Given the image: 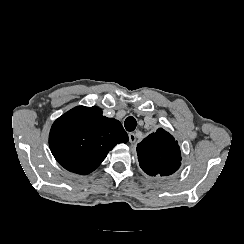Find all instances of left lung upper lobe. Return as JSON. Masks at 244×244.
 Returning a JSON list of instances; mask_svg holds the SVG:
<instances>
[{"mask_svg": "<svg viewBox=\"0 0 244 244\" xmlns=\"http://www.w3.org/2000/svg\"><path fill=\"white\" fill-rule=\"evenodd\" d=\"M140 167L150 176H168L181 165V153L174 137L159 128L137 144Z\"/></svg>", "mask_w": 244, "mask_h": 244, "instance_id": "5c2ea615", "label": "left lung upper lobe"}]
</instances>
